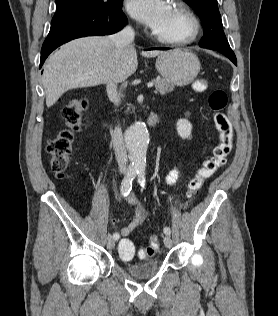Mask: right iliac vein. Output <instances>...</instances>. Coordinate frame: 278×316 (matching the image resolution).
<instances>
[{
	"label": "right iliac vein",
	"instance_id": "63e3f726",
	"mask_svg": "<svg viewBox=\"0 0 278 316\" xmlns=\"http://www.w3.org/2000/svg\"><path fill=\"white\" fill-rule=\"evenodd\" d=\"M106 244L109 249H113L115 246V239L111 235H109L107 237Z\"/></svg>",
	"mask_w": 278,
	"mask_h": 316
}]
</instances>
